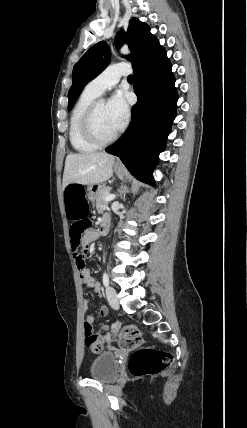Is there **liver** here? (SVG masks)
<instances>
[{
	"mask_svg": "<svg viewBox=\"0 0 247 428\" xmlns=\"http://www.w3.org/2000/svg\"><path fill=\"white\" fill-rule=\"evenodd\" d=\"M115 157L105 152L69 154L63 174V188L69 184H100L111 178Z\"/></svg>",
	"mask_w": 247,
	"mask_h": 428,
	"instance_id": "liver-1",
	"label": "liver"
}]
</instances>
